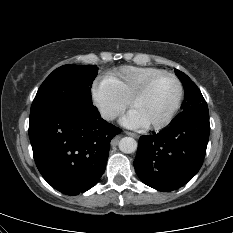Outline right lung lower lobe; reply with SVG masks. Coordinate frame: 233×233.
I'll use <instances>...</instances> for the list:
<instances>
[{"instance_id":"obj_1","label":"right lung lower lobe","mask_w":233,"mask_h":233,"mask_svg":"<svg viewBox=\"0 0 233 233\" xmlns=\"http://www.w3.org/2000/svg\"><path fill=\"white\" fill-rule=\"evenodd\" d=\"M121 129L95 106L61 107L30 114L29 137L43 178L67 195L92 188L105 171L110 141Z\"/></svg>"}]
</instances>
